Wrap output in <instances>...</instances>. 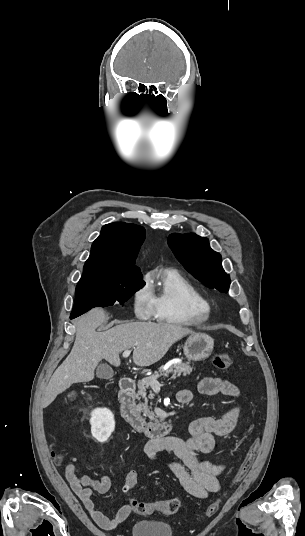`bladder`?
<instances>
[{"label":"bladder","mask_w":305,"mask_h":536,"mask_svg":"<svg viewBox=\"0 0 305 536\" xmlns=\"http://www.w3.org/2000/svg\"><path fill=\"white\" fill-rule=\"evenodd\" d=\"M131 536H174V528L171 523L147 517L132 524Z\"/></svg>","instance_id":"31cf9c89"}]
</instances>
